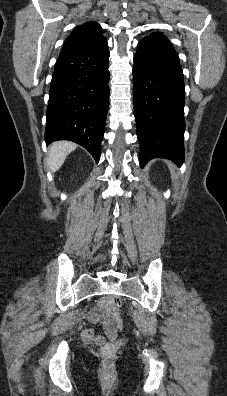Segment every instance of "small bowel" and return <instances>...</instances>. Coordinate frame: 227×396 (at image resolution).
<instances>
[{
	"instance_id": "small-bowel-1",
	"label": "small bowel",
	"mask_w": 227,
	"mask_h": 396,
	"mask_svg": "<svg viewBox=\"0 0 227 396\" xmlns=\"http://www.w3.org/2000/svg\"><path fill=\"white\" fill-rule=\"evenodd\" d=\"M111 300L109 297H103L98 301V304L89 313V319L92 323L101 324L105 335L113 339L116 337L120 329L121 322L118 317H112L109 314ZM82 337L86 342H93L96 345H102L105 342V336L96 333L93 328L84 329Z\"/></svg>"
}]
</instances>
